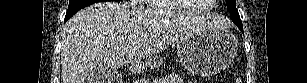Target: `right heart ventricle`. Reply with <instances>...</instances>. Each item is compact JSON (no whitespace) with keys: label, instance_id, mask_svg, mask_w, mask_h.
<instances>
[{"label":"right heart ventricle","instance_id":"right-heart-ventricle-1","mask_svg":"<svg viewBox=\"0 0 307 83\" xmlns=\"http://www.w3.org/2000/svg\"><path fill=\"white\" fill-rule=\"evenodd\" d=\"M149 7L153 10H158L159 12H172L180 10L175 4L174 1L170 0H158L150 1ZM210 9L211 5H206Z\"/></svg>","mask_w":307,"mask_h":83}]
</instances>
